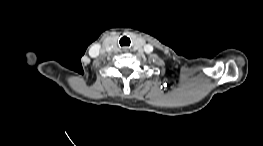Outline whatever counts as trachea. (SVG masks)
<instances>
[{"label": "trachea", "instance_id": "trachea-1", "mask_svg": "<svg viewBox=\"0 0 263 146\" xmlns=\"http://www.w3.org/2000/svg\"><path fill=\"white\" fill-rule=\"evenodd\" d=\"M120 45L121 46H129L131 41H130V38L127 37V36H123L120 41H119Z\"/></svg>", "mask_w": 263, "mask_h": 146}]
</instances>
